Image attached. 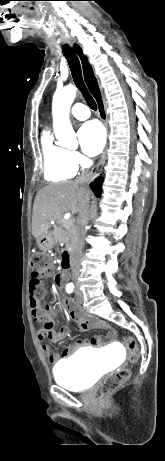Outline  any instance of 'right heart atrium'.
Masks as SVG:
<instances>
[{
  "mask_svg": "<svg viewBox=\"0 0 165 461\" xmlns=\"http://www.w3.org/2000/svg\"><path fill=\"white\" fill-rule=\"evenodd\" d=\"M70 154V159H71V162L73 163V165L77 168L81 165H83L84 163V158L83 156L77 152V151H70L69 152Z\"/></svg>",
  "mask_w": 165,
  "mask_h": 461,
  "instance_id": "obj_1",
  "label": "right heart atrium"
}]
</instances>
